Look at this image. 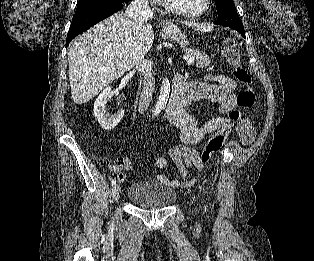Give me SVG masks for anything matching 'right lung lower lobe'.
I'll list each match as a JSON object with an SVG mask.
<instances>
[{"label":"right lung lower lobe","mask_w":314,"mask_h":261,"mask_svg":"<svg viewBox=\"0 0 314 261\" xmlns=\"http://www.w3.org/2000/svg\"><path fill=\"white\" fill-rule=\"evenodd\" d=\"M122 3L125 2H110L92 7L80 13H76L73 16L72 23L67 35L66 47L78 34L122 9Z\"/></svg>","instance_id":"obj_1"}]
</instances>
